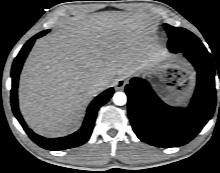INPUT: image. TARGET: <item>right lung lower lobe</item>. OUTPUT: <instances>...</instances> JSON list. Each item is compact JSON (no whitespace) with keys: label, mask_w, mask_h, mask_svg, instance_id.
<instances>
[{"label":"right lung lower lobe","mask_w":220,"mask_h":173,"mask_svg":"<svg viewBox=\"0 0 220 173\" xmlns=\"http://www.w3.org/2000/svg\"><path fill=\"white\" fill-rule=\"evenodd\" d=\"M47 31H43L33 38H31L22 48L18 56L15 58L13 66H12V71H11V76H12V89H11V103H12V109L13 112L26 131V133L30 136V138L39 144V146L48 149V150H60L63 148H72V147H77L82 144H84L90 137L92 133V129L94 126L95 118L98 109L104 105L110 97L113 94V88H109L108 90L104 91L101 93L99 96H97L90 106L87 109V114L86 118L84 120L82 128L75 132L74 134H71L67 137L63 138H56V139H47L43 138L39 135H36L33 133L29 128H27V125L22 119V116L18 110V101H17V85H18V77L23 65V62L30 51L34 41L36 38L43 36L46 34Z\"/></svg>","instance_id":"obj_1"}]
</instances>
